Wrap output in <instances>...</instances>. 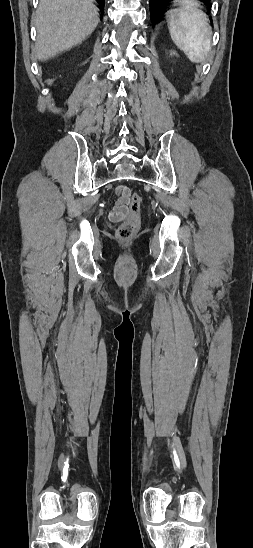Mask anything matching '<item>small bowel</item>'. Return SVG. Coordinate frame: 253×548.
<instances>
[{"instance_id": "obj_1", "label": "small bowel", "mask_w": 253, "mask_h": 548, "mask_svg": "<svg viewBox=\"0 0 253 548\" xmlns=\"http://www.w3.org/2000/svg\"><path fill=\"white\" fill-rule=\"evenodd\" d=\"M116 193L119 196V200L109 212V218L114 222H118L122 220L129 213V210L127 207L128 196H129L128 187L124 185H120L116 188Z\"/></svg>"}]
</instances>
